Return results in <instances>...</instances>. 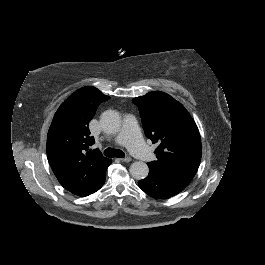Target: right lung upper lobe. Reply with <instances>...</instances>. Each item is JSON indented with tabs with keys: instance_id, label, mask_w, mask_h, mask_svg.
Masks as SVG:
<instances>
[{
	"instance_id": "right-lung-upper-lobe-1",
	"label": "right lung upper lobe",
	"mask_w": 265,
	"mask_h": 265,
	"mask_svg": "<svg viewBox=\"0 0 265 265\" xmlns=\"http://www.w3.org/2000/svg\"><path fill=\"white\" fill-rule=\"evenodd\" d=\"M110 99L95 87L70 95L56 111L47 136V158L59 183L71 193L87 196L105 182L111 160L98 149L88 128L101 102Z\"/></svg>"
}]
</instances>
